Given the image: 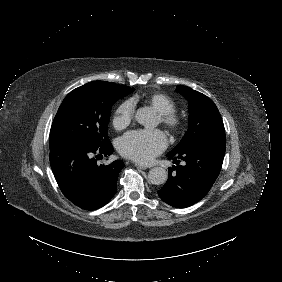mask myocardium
I'll list each match as a JSON object with an SVG mask.
<instances>
[{"label": "myocardium", "mask_w": 282, "mask_h": 282, "mask_svg": "<svg viewBox=\"0 0 282 282\" xmlns=\"http://www.w3.org/2000/svg\"><path fill=\"white\" fill-rule=\"evenodd\" d=\"M159 122L174 128L178 124V118L173 113H159Z\"/></svg>", "instance_id": "1"}]
</instances>
